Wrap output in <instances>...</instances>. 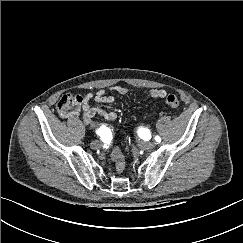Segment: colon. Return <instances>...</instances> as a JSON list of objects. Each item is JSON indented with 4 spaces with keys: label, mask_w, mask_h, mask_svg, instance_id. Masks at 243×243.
Returning <instances> with one entry per match:
<instances>
[{
    "label": "colon",
    "mask_w": 243,
    "mask_h": 243,
    "mask_svg": "<svg viewBox=\"0 0 243 243\" xmlns=\"http://www.w3.org/2000/svg\"><path fill=\"white\" fill-rule=\"evenodd\" d=\"M83 103V97L76 94H65L57 103V111L62 117H68L77 112ZM165 103L172 107L177 108L179 106V99L174 94H169L165 98ZM111 158L115 163L116 170L122 172L125 169L126 163L121 150L115 147L111 151Z\"/></svg>",
    "instance_id": "5ec220e1"
}]
</instances>
